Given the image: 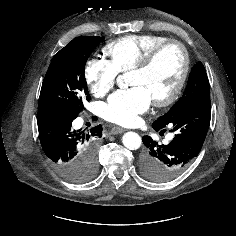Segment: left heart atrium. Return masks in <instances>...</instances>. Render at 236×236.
<instances>
[{
    "mask_svg": "<svg viewBox=\"0 0 236 236\" xmlns=\"http://www.w3.org/2000/svg\"><path fill=\"white\" fill-rule=\"evenodd\" d=\"M152 98L142 86H133L113 94L104 107L103 116L107 121L123 126L133 125L138 116L146 112Z\"/></svg>",
    "mask_w": 236,
    "mask_h": 236,
    "instance_id": "1",
    "label": "left heart atrium"
}]
</instances>
